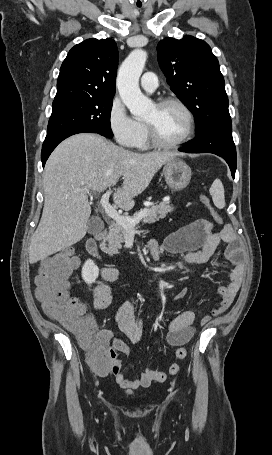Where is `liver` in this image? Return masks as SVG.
<instances>
[{
	"mask_svg": "<svg viewBox=\"0 0 272 455\" xmlns=\"http://www.w3.org/2000/svg\"><path fill=\"white\" fill-rule=\"evenodd\" d=\"M178 155L166 151L136 153L89 133L60 143L45 166L44 208L31 239L29 262L34 264L84 238L91 214L90 192H104L123 177L113 201L119 208L130 210L134 198L148 187L155 173Z\"/></svg>",
	"mask_w": 272,
	"mask_h": 455,
	"instance_id": "obj_1",
	"label": "liver"
}]
</instances>
